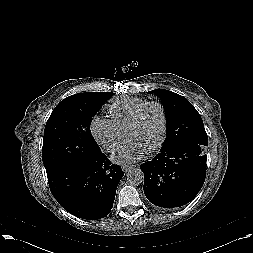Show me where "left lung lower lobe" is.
I'll return each mask as SVG.
<instances>
[{"instance_id":"left-lung-lower-lobe-1","label":"left lung lower lobe","mask_w":253,"mask_h":253,"mask_svg":"<svg viewBox=\"0 0 253 253\" xmlns=\"http://www.w3.org/2000/svg\"><path fill=\"white\" fill-rule=\"evenodd\" d=\"M205 146L185 142L161 149L143 163L144 194L160 208H176L192 201L206 177Z\"/></svg>"}]
</instances>
